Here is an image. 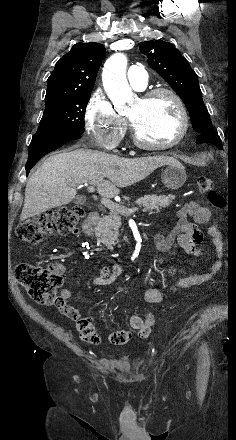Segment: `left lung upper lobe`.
I'll return each mask as SVG.
<instances>
[{"label":"left lung upper lobe","mask_w":236,"mask_h":440,"mask_svg":"<svg viewBox=\"0 0 236 440\" xmlns=\"http://www.w3.org/2000/svg\"><path fill=\"white\" fill-rule=\"evenodd\" d=\"M139 49L148 56L149 66L183 100L189 111L194 130L200 134L213 130L209 113L202 100L198 77L174 45L162 40H154L141 43Z\"/></svg>","instance_id":"obj_1"}]
</instances>
